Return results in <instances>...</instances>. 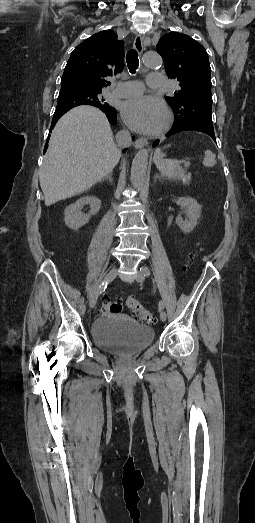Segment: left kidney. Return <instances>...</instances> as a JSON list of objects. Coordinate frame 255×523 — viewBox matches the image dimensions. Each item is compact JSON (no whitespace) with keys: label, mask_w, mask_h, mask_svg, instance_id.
Returning <instances> with one entry per match:
<instances>
[{"label":"left kidney","mask_w":255,"mask_h":523,"mask_svg":"<svg viewBox=\"0 0 255 523\" xmlns=\"http://www.w3.org/2000/svg\"><path fill=\"white\" fill-rule=\"evenodd\" d=\"M175 202H178V204L184 208V212H186L189 218V220H185L184 222L181 216H177L176 224L184 234H189V232L194 230L197 220L201 216V206L194 198H178Z\"/></svg>","instance_id":"5707ae66"}]
</instances>
